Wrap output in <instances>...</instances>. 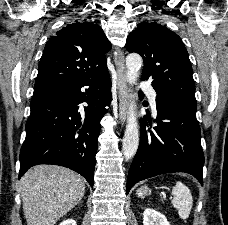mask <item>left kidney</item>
<instances>
[{"label":"left kidney","instance_id":"5707ae66","mask_svg":"<svg viewBox=\"0 0 228 225\" xmlns=\"http://www.w3.org/2000/svg\"><path fill=\"white\" fill-rule=\"evenodd\" d=\"M143 225H169L165 215H161L155 209H145L143 213Z\"/></svg>","mask_w":228,"mask_h":225}]
</instances>
